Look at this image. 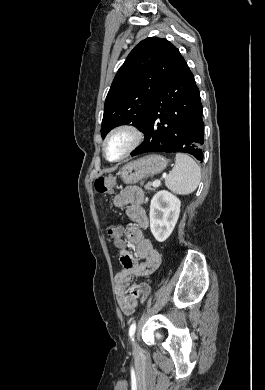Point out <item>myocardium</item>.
Returning a JSON list of instances; mask_svg holds the SVG:
<instances>
[{
    "label": "myocardium",
    "instance_id": "obj_1",
    "mask_svg": "<svg viewBox=\"0 0 265 390\" xmlns=\"http://www.w3.org/2000/svg\"><path fill=\"white\" fill-rule=\"evenodd\" d=\"M118 134H125L129 137L128 145L122 154L116 159H110L107 155V146L109 141ZM142 131L131 123H122L113 127L106 135L103 144L102 151L105 159L111 163H117L126 159L131 153H133L143 141Z\"/></svg>",
    "mask_w": 265,
    "mask_h": 390
}]
</instances>
